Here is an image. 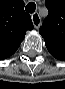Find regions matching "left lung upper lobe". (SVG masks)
I'll return each mask as SVG.
<instances>
[{
	"label": "left lung upper lobe",
	"instance_id": "5c2ea615",
	"mask_svg": "<svg viewBox=\"0 0 65 89\" xmlns=\"http://www.w3.org/2000/svg\"><path fill=\"white\" fill-rule=\"evenodd\" d=\"M49 11L39 29L45 41L65 45V0H45Z\"/></svg>",
	"mask_w": 65,
	"mask_h": 89
}]
</instances>
